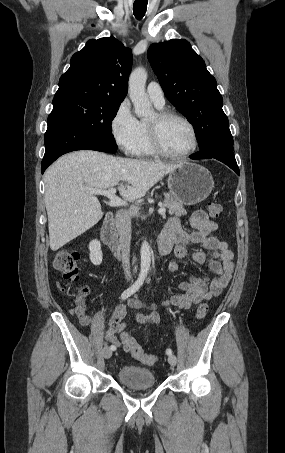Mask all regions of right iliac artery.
Masks as SVG:
<instances>
[{
  "label": "right iliac artery",
  "mask_w": 285,
  "mask_h": 453,
  "mask_svg": "<svg viewBox=\"0 0 285 453\" xmlns=\"http://www.w3.org/2000/svg\"><path fill=\"white\" fill-rule=\"evenodd\" d=\"M145 278H146V273H144V272L140 273V275H139L138 279L135 281V283L121 294V299L125 300L128 297H130L133 293H135L142 286ZM110 349L115 350V347L111 346Z\"/></svg>",
  "instance_id": "82829eb1"
}]
</instances>
